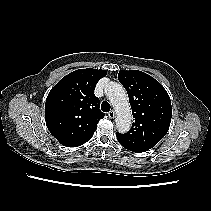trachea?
I'll return each instance as SVG.
<instances>
[{
  "mask_svg": "<svg viewBox=\"0 0 211 211\" xmlns=\"http://www.w3.org/2000/svg\"><path fill=\"white\" fill-rule=\"evenodd\" d=\"M110 108H111V106H110V104L107 101L102 102V104H101V110L103 112H109L110 111Z\"/></svg>",
  "mask_w": 211,
  "mask_h": 211,
  "instance_id": "3493384b",
  "label": "trachea"
}]
</instances>
